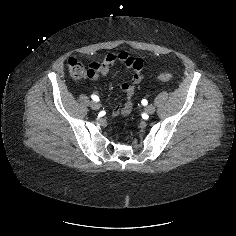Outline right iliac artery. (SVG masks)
<instances>
[{
    "mask_svg": "<svg viewBox=\"0 0 236 236\" xmlns=\"http://www.w3.org/2000/svg\"><path fill=\"white\" fill-rule=\"evenodd\" d=\"M91 98H92L94 101H99V97L96 96V95H92Z\"/></svg>",
    "mask_w": 236,
    "mask_h": 236,
    "instance_id": "82829eb1",
    "label": "right iliac artery"
}]
</instances>
